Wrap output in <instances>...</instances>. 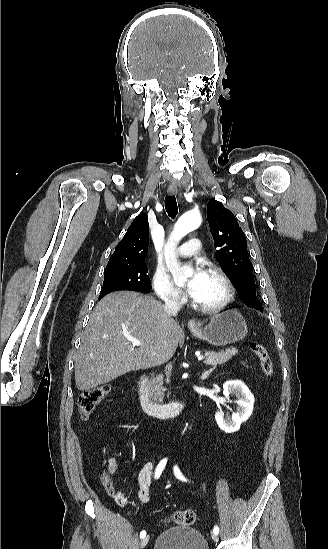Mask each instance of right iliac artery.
Segmentation results:
<instances>
[{
	"instance_id": "82829eb1",
	"label": "right iliac artery",
	"mask_w": 328,
	"mask_h": 549,
	"mask_svg": "<svg viewBox=\"0 0 328 549\" xmlns=\"http://www.w3.org/2000/svg\"><path fill=\"white\" fill-rule=\"evenodd\" d=\"M166 463H167V459H166V458H164V459L159 463V465L157 466L156 471H155V478L158 479V478L160 477V475H161V473H162V471H163V469H164ZM145 535H146V531L143 530V531L140 532V538L145 537Z\"/></svg>"
}]
</instances>
